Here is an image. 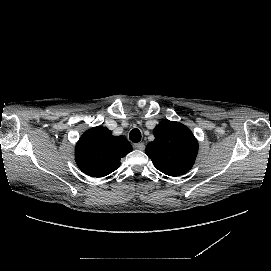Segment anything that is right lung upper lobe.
<instances>
[{
  "label": "right lung upper lobe",
  "mask_w": 271,
  "mask_h": 271,
  "mask_svg": "<svg viewBox=\"0 0 271 271\" xmlns=\"http://www.w3.org/2000/svg\"><path fill=\"white\" fill-rule=\"evenodd\" d=\"M132 151L124 136H113L105 127L86 131L75 148V159L84 173L93 177L106 176L120 166V159Z\"/></svg>",
  "instance_id": "right-lung-upper-lobe-1"
}]
</instances>
